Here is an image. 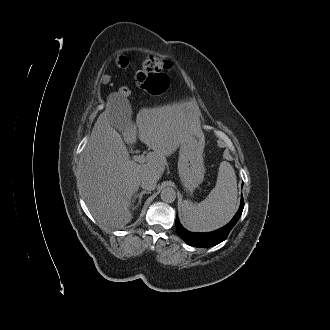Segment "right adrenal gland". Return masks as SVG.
I'll return each instance as SVG.
<instances>
[{
  "mask_svg": "<svg viewBox=\"0 0 330 330\" xmlns=\"http://www.w3.org/2000/svg\"><path fill=\"white\" fill-rule=\"evenodd\" d=\"M148 193H150V192L149 191H141L140 193H137V194L134 195L133 202L135 201L136 198H138V203L133 209H136L137 207H139V205L141 204V200H142L143 195L148 194Z\"/></svg>",
  "mask_w": 330,
  "mask_h": 330,
  "instance_id": "obj_1",
  "label": "right adrenal gland"
}]
</instances>
